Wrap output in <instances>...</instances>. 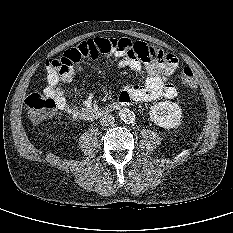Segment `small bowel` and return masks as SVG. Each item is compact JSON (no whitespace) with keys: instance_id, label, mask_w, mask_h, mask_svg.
Instances as JSON below:
<instances>
[{"instance_id":"1","label":"small bowel","mask_w":233,"mask_h":233,"mask_svg":"<svg viewBox=\"0 0 233 233\" xmlns=\"http://www.w3.org/2000/svg\"><path fill=\"white\" fill-rule=\"evenodd\" d=\"M123 40L126 43V49L113 53L114 56L120 58L118 66L120 68L129 67L138 72L144 78V85H124L119 95L120 103L127 105L133 101L151 102L160 98H175L177 89L168 82V77L178 67L176 56L163 52L154 45ZM51 61L52 59H49L46 62L47 86L45 91L55 96L59 110L68 113L75 119L88 118V112L93 104V96L89 95L81 104H69L58 85L71 83L75 71L71 69L69 72L59 73L52 67Z\"/></svg>"}]
</instances>
